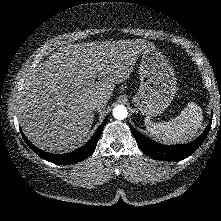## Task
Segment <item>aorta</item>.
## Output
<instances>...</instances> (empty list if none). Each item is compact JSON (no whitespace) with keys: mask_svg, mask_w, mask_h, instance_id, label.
<instances>
[{"mask_svg":"<svg viewBox=\"0 0 221 221\" xmlns=\"http://www.w3.org/2000/svg\"><path fill=\"white\" fill-rule=\"evenodd\" d=\"M127 115L128 111L124 105H118L113 109V117L117 120H123Z\"/></svg>","mask_w":221,"mask_h":221,"instance_id":"762f6f07","label":"aorta"}]
</instances>
